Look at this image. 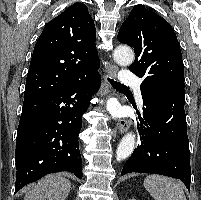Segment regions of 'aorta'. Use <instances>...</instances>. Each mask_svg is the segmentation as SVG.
Here are the masks:
<instances>
[{"label":"aorta","mask_w":201,"mask_h":200,"mask_svg":"<svg viewBox=\"0 0 201 200\" xmlns=\"http://www.w3.org/2000/svg\"><path fill=\"white\" fill-rule=\"evenodd\" d=\"M114 60L121 66H129L134 61V53L127 46H118L114 50ZM135 147V136L132 133H127L120 141L117 151V160H123L129 157Z\"/></svg>","instance_id":"762f6f07"}]
</instances>
